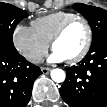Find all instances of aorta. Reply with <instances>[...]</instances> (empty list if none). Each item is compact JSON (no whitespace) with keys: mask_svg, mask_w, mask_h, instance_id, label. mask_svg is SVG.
Returning a JSON list of instances; mask_svg holds the SVG:
<instances>
[{"mask_svg":"<svg viewBox=\"0 0 107 107\" xmlns=\"http://www.w3.org/2000/svg\"><path fill=\"white\" fill-rule=\"evenodd\" d=\"M50 75H51L52 80L57 83L63 82L66 77L65 72L59 68L53 69Z\"/></svg>","mask_w":107,"mask_h":107,"instance_id":"1","label":"aorta"}]
</instances>
